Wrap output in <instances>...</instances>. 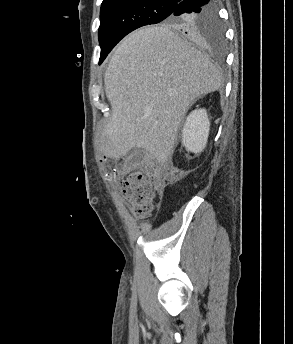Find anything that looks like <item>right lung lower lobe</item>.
<instances>
[{
  "label": "right lung lower lobe",
  "mask_w": 293,
  "mask_h": 344,
  "mask_svg": "<svg viewBox=\"0 0 293 344\" xmlns=\"http://www.w3.org/2000/svg\"><path fill=\"white\" fill-rule=\"evenodd\" d=\"M213 0H181L176 3L173 16L190 15L200 12H209L213 9ZM184 33H190V29H186Z\"/></svg>",
  "instance_id": "98d812e1"
}]
</instances>
